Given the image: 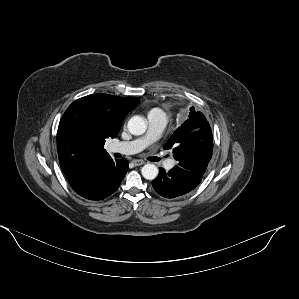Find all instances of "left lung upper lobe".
<instances>
[{
	"mask_svg": "<svg viewBox=\"0 0 299 299\" xmlns=\"http://www.w3.org/2000/svg\"><path fill=\"white\" fill-rule=\"evenodd\" d=\"M164 149H172L178 165L204 175L213 152L212 130L203 113L190 108L188 119L174 132Z\"/></svg>",
	"mask_w": 299,
	"mask_h": 299,
	"instance_id": "5c2ea615",
	"label": "left lung upper lobe"
}]
</instances>
